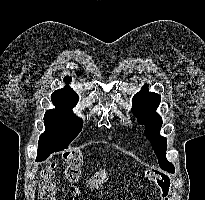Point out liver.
Returning <instances> with one entry per match:
<instances>
[{
    "label": "liver",
    "mask_w": 205,
    "mask_h": 200,
    "mask_svg": "<svg viewBox=\"0 0 205 200\" xmlns=\"http://www.w3.org/2000/svg\"><path fill=\"white\" fill-rule=\"evenodd\" d=\"M108 180V174L105 169H100L98 172L95 173L94 176H92L89 181L87 182V185L92 189L95 187H98L104 182H107Z\"/></svg>",
    "instance_id": "liver-1"
}]
</instances>
